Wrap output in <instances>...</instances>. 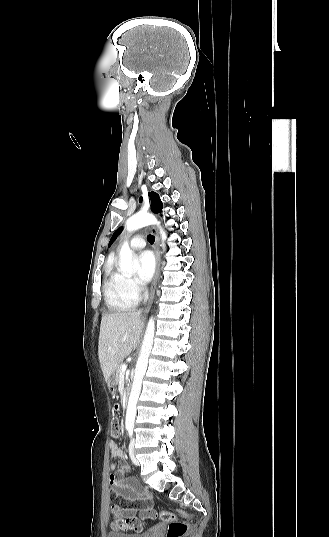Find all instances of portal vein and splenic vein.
Returning <instances> with one entry per match:
<instances>
[{"mask_svg": "<svg viewBox=\"0 0 329 537\" xmlns=\"http://www.w3.org/2000/svg\"><path fill=\"white\" fill-rule=\"evenodd\" d=\"M126 369H127V365L123 364V365L121 366V371H122V373H124V372L126 371Z\"/></svg>", "mask_w": 329, "mask_h": 537, "instance_id": "1", "label": "portal vein and splenic vein"}]
</instances>
